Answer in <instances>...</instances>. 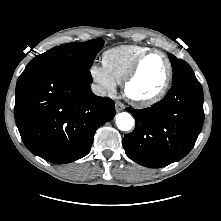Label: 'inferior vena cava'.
Returning <instances> with one entry per match:
<instances>
[{
    "instance_id": "602c4592",
    "label": "inferior vena cava",
    "mask_w": 221,
    "mask_h": 221,
    "mask_svg": "<svg viewBox=\"0 0 221 221\" xmlns=\"http://www.w3.org/2000/svg\"><path fill=\"white\" fill-rule=\"evenodd\" d=\"M92 92L97 96H106L107 92L101 85L93 84L91 86Z\"/></svg>"
}]
</instances>
